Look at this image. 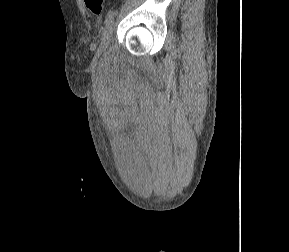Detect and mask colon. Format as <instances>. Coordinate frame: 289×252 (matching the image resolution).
Listing matches in <instances>:
<instances>
[{
  "label": "colon",
  "mask_w": 289,
  "mask_h": 252,
  "mask_svg": "<svg viewBox=\"0 0 289 252\" xmlns=\"http://www.w3.org/2000/svg\"><path fill=\"white\" fill-rule=\"evenodd\" d=\"M87 10L93 15H100L104 9V0H84Z\"/></svg>",
  "instance_id": "obj_1"
}]
</instances>
